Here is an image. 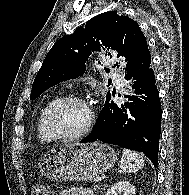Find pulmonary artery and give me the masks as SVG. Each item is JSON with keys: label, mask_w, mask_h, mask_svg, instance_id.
Returning a JSON list of instances; mask_svg holds the SVG:
<instances>
[{"label": "pulmonary artery", "mask_w": 189, "mask_h": 195, "mask_svg": "<svg viewBox=\"0 0 189 195\" xmlns=\"http://www.w3.org/2000/svg\"><path fill=\"white\" fill-rule=\"evenodd\" d=\"M116 82L119 84V85H121V79H116Z\"/></svg>", "instance_id": "obj_1"}]
</instances>
